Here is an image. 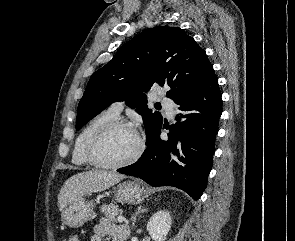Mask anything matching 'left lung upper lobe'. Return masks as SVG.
<instances>
[{
  "label": "left lung upper lobe",
  "mask_w": 295,
  "mask_h": 241,
  "mask_svg": "<svg viewBox=\"0 0 295 241\" xmlns=\"http://www.w3.org/2000/svg\"><path fill=\"white\" fill-rule=\"evenodd\" d=\"M214 75L205 51L177 27L143 31L124 44L113 59L90 78L78 105L76 129L117 101H127L142 115L147 143L162 124L159 112L148 109L144 92L168 85L174 102Z\"/></svg>",
  "instance_id": "left-lung-upper-lobe-1"
}]
</instances>
